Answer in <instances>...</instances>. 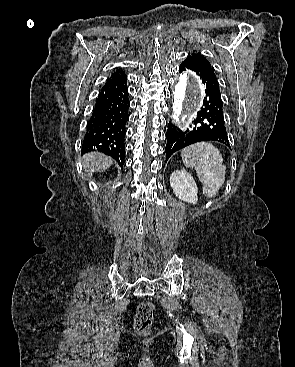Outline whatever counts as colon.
I'll list each match as a JSON object with an SVG mask.
<instances>
[{"instance_id":"colon-1","label":"colon","mask_w":295,"mask_h":367,"mask_svg":"<svg viewBox=\"0 0 295 367\" xmlns=\"http://www.w3.org/2000/svg\"><path fill=\"white\" fill-rule=\"evenodd\" d=\"M153 305L145 301L141 302L137 307V313L134 321L135 330L139 333H146L152 322Z\"/></svg>"}]
</instances>
